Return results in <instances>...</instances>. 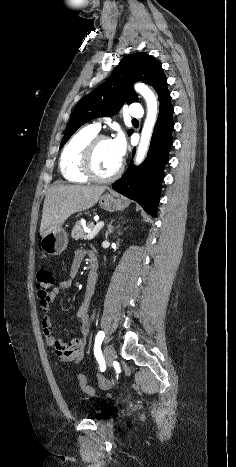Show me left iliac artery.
<instances>
[{
  "label": "left iliac artery",
  "mask_w": 236,
  "mask_h": 467,
  "mask_svg": "<svg viewBox=\"0 0 236 467\" xmlns=\"http://www.w3.org/2000/svg\"><path fill=\"white\" fill-rule=\"evenodd\" d=\"M104 337H105V333L103 331H99L96 335L95 345H94V355L100 364L101 371L105 370V365L104 363H102L103 357H102L101 348H100L102 341L104 340Z\"/></svg>",
  "instance_id": "44dca946"
}]
</instances>
